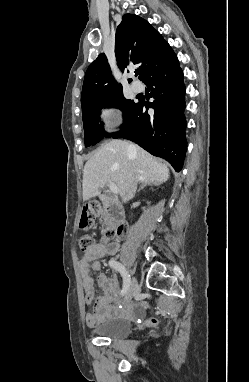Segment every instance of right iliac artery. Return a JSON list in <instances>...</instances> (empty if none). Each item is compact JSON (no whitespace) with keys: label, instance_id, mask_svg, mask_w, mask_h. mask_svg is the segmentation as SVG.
<instances>
[{"label":"right iliac artery","instance_id":"right-iliac-artery-1","mask_svg":"<svg viewBox=\"0 0 249 382\" xmlns=\"http://www.w3.org/2000/svg\"><path fill=\"white\" fill-rule=\"evenodd\" d=\"M109 265H110V267L114 268L115 270H117L121 274V276L123 278V286H122L121 292H122V295L126 294L128 289H129V286H130V276H129L128 272L126 271L125 267L121 263H119L113 259H111L109 261Z\"/></svg>","mask_w":249,"mask_h":382}]
</instances>
